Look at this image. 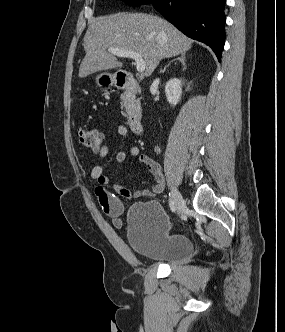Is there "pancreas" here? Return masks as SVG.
Returning a JSON list of instances; mask_svg holds the SVG:
<instances>
[{"label":"pancreas","instance_id":"pancreas-1","mask_svg":"<svg viewBox=\"0 0 285 332\" xmlns=\"http://www.w3.org/2000/svg\"><path fill=\"white\" fill-rule=\"evenodd\" d=\"M126 109V113H129L130 109L133 108L135 110H139L140 108V100H133V99H128V92H125L121 96V109Z\"/></svg>","mask_w":285,"mask_h":332}]
</instances>
